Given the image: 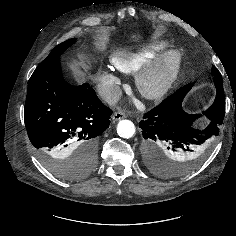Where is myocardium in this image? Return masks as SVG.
<instances>
[{"label": "myocardium", "mask_w": 236, "mask_h": 236, "mask_svg": "<svg viewBox=\"0 0 236 236\" xmlns=\"http://www.w3.org/2000/svg\"><path fill=\"white\" fill-rule=\"evenodd\" d=\"M182 67L181 55L166 51L146 64L136 76L139 92L147 99L164 97L175 84Z\"/></svg>", "instance_id": "obj_1"}]
</instances>
